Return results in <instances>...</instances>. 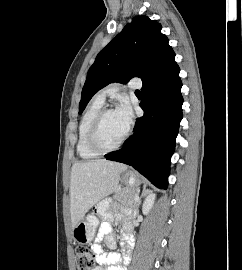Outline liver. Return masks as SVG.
I'll use <instances>...</instances> for the list:
<instances>
[{
	"instance_id": "obj_1",
	"label": "liver",
	"mask_w": 242,
	"mask_h": 270,
	"mask_svg": "<svg viewBox=\"0 0 242 270\" xmlns=\"http://www.w3.org/2000/svg\"><path fill=\"white\" fill-rule=\"evenodd\" d=\"M125 170V164L104 159L79 162L72 166L70 212L73 228L89 209L117 190L120 175Z\"/></svg>"
}]
</instances>
